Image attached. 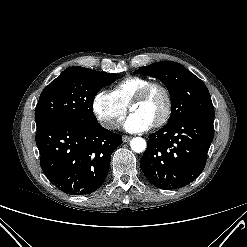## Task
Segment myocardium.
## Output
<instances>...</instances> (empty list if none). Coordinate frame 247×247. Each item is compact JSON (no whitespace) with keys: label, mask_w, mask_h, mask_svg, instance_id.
<instances>
[{"label":"myocardium","mask_w":247,"mask_h":247,"mask_svg":"<svg viewBox=\"0 0 247 247\" xmlns=\"http://www.w3.org/2000/svg\"><path fill=\"white\" fill-rule=\"evenodd\" d=\"M154 90H159L162 92V94L164 95L165 98V110L162 114V116L156 121L154 122L151 126L154 128L163 126L164 124H166L168 122V120L171 117L172 114V110H173V97L172 94L169 90V88L160 83V82H150L149 84H147L146 86H144L130 101L128 107L129 110H132V107L135 104L141 103L144 100H146L148 98V96L154 91Z\"/></svg>","instance_id":"f54148a6"}]
</instances>
